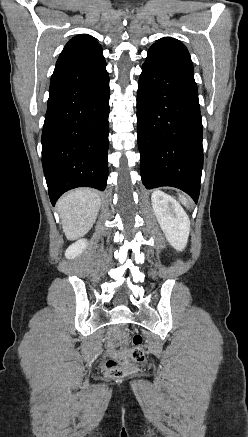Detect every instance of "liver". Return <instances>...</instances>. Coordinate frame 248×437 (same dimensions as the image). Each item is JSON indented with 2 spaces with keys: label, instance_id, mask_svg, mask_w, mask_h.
Masks as SVG:
<instances>
[{
  "label": "liver",
  "instance_id": "liver-1",
  "mask_svg": "<svg viewBox=\"0 0 248 437\" xmlns=\"http://www.w3.org/2000/svg\"><path fill=\"white\" fill-rule=\"evenodd\" d=\"M100 205V193L90 188L73 190L61 197L57 208L68 240H77L89 232Z\"/></svg>",
  "mask_w": 248,
  "mask_h": 437
}]
</instances>
